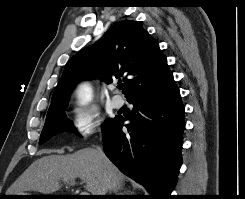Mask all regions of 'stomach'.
<instances>
[{"instance_id":"stomach-1","label":"stomach","mask_w":245,"mask_h":199,"mask_svg":"<svg viewBox=\"0 0 245 199\" xmlns=\"http://www.w3.org/2000/svg\"><path fill=\"white\" fill-rule=\"evenodd\" d=\"M18 195H31V194H28V193H22V194H18Z\"/></svg>"}]
</instances>
